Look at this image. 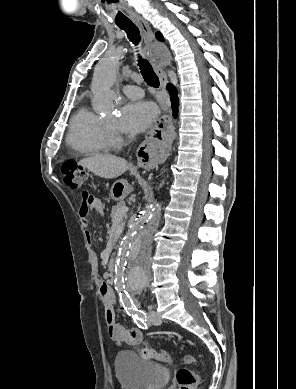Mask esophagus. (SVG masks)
Segmentation results:
<instances>
[{"label":"esophagus","instance_id":"esophagus-1","mask_svg":"<svg viewBox=\"0 0 296 389\" xmlns=\"http://www.w3.org/2000/svg\"><path fill=\"white\" fill-rule=\"evenodd\" d=\"M134 23L143 34L146 46L149 48L154 41V33L148 22L143 18L134 19ZM152 66L159 77L162 89L166 88L167 76L161 66L151 57ZM173 123L167 116L159 118L154 126L146 132L143 142L138 148V166L140 169H155L157 163H161L163 157H168L171 144L175 142L176 136Z\"/></svg>","mask_w":296,"mask_h":389}]
</instances>
